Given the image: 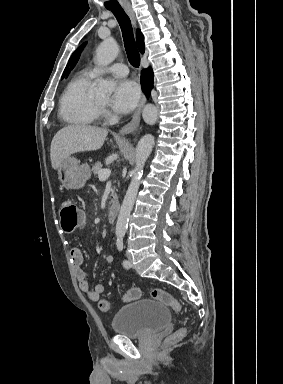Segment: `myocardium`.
Instances as JSON below:
<instances>
[{"instance_id":"f54148a6","label":"myocardium","mask_w":283,"mask_h":384,"mask_svg":"<svg viewBox=\"0 0 283 384\" xmlns=\"http://www.w3.org/2000/svg\"><path fill=\"white\" fill-rule=\"evenodd\" d=\"M94 104H95V107H96L98 115L99 116H104V114L106 112L105 105H102L101 103H99L96 100H94Z\"/></svg>"}]
</instances>
